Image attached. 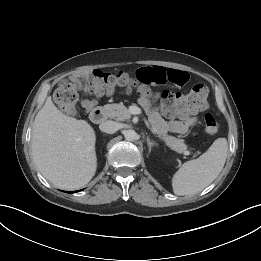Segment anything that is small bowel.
Returning a JSON list of instances; mask_svg holds the SVG:
<instances>
[{"mask_svg":"<svg viewBox=\"0 0 261 261\" xmlns=\"http://www.w3.org/2000/svg\"><path fill=\"white\" fill-rule=\"evenodd\" d=\"M137 74L145 85L173 84L182 86L189 80L187 72L162 66L142 67L138 70ZM139 102L148 111L151 123L160 131L186 134L190 128L197 124V118L192 114L179 115L176 118L168 120L164 119L163 113L151 105L145 93H142ZM81 104L85 109L89 110L96 105V100L83 99Z\"/></svg>","mask_w":261,"mask_h":261,"instance_id":"1","label":"small bowel"}]
</instances>
